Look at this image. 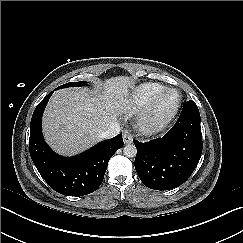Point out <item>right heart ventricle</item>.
I'll list each match as a JSON object with an SVG mask.
<instances>
[{
	"instance_id": "e07e8e85",
	"label": "right heart ventricle",
	"mask_w": 243,
	"mask_h": 243,
	"mask_svg": "<svg viewBox=\"0 0 243 243\" xmlns=\"http://www.w3.org/2000/svg\"><path fill=\"white\" fill-rule=\"evenodd\" d=\"M165 86L158 82H143L134 86L123 98L120 109L126 114L143 110Z\"/></svg>"
}]
</instances>
